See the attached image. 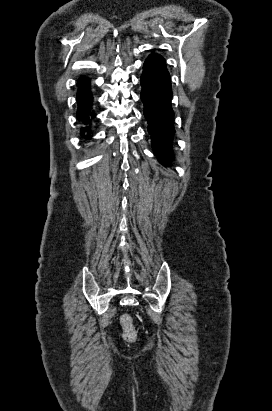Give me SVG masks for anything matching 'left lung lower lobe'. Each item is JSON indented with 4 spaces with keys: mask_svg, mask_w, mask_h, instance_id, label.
I'll list each match as a JSON object with an SVG mask.
<instances>
[{
    "mask_svg": "<svg viewBox=\"0 0 272 411\" xmlns=\"http://www.w3.org/2000/svg\"><path fill=\"white\" fill-rule=\"evenodd\" d=\"M141 100L148 121L152 148L158 159L168 165L174 158L172 140L174 112L171 107L172 89L164 58L152 53L145 61L140 79Z\"/></svg>",
    "mask_w": 272,
    "mask_h": 411,
    "instance_id": "1",
    "label": "left lung lower lobe"
}]
</instances>
